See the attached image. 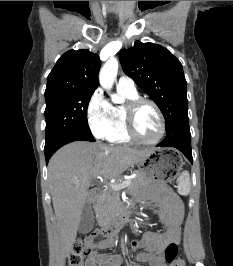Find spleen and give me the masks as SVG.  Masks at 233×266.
<instances>
[{
  "instance_id": "1",
  "label": "spleen",
  "mask_w": 233,
  "mask_h": 266,
  "mask_svg": "<svg viewBox=\"0 0 233 266\" xmlns=\"http://www.w3.org/2000/svg\"><path fill=\"white\" fill-rule=\"evenodd\" d=\"M178 193L180 195H188L190 192L191 182H190V175L187 171H184L179 176L178 180Z\"/></svg>"
}]
</instances>
